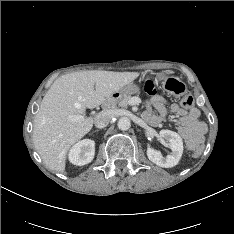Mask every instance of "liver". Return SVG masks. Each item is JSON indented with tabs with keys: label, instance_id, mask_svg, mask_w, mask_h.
I'll return each mask as SVG.
<instances>
[{
	"label": "liver",
	"instance_id": "obj_1",
	"mask_svg": "<svg viewBox=\"0 0 234 234\" xmlns=\"http://www.w3.org/2000/svg\"><path fill=\"white\" fill-rule=\"evenodd\" d=\"M138 76V72L87 70L56 79L34 119L33 142L45 165L64 172L67 151L93 127V118L73 122L69 115L84 116L86 108L101 105Z\"/></svg>",
	"mask_w": 234,
	"mask_h": 234
}]
</instances>
